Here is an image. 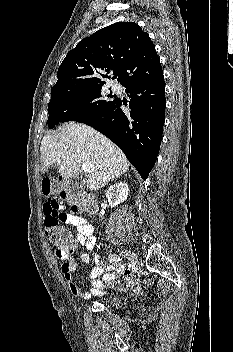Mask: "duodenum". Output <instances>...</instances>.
<instances>
[{
    "label": "duodenum",
    "instance_id": "410a0bca",
    "mask_svg": "<svg viewBox=\"0 0 233 352\" xmlns=\"http://www.w3.org/2000/svg\"><path fill=\"white\" fill-rule=\"evenodd\" d=\"M91 202H92V204L96 203V197L95 196L91 197Z\"/></svg>",
    "mask_w": 233,
    "mask_h": 352
}]
</instances>
